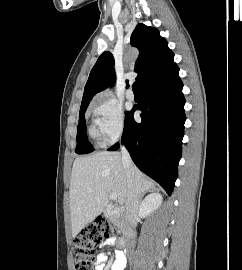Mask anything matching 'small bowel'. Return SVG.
<instances>
[{
	"label": "small bowel",
	"instance_id": "1",
	"mask_svg": "<svg viewBox=\"0 0 242 270\" xmlns=\"http://www.w3.org/2000/svg\"><path fill=\"white\" fill-rule=\"evenodd\" d=\"M115 243L113 239H108L104 242V245L111 246ZM106 256L100 255L96 260V270H105ZM125 267V255L122 251H116L115 261L111 267V270H123Z\"/></svg>",
	"mask_w": 242,
	"mask_h": 270
}]
</instances>
